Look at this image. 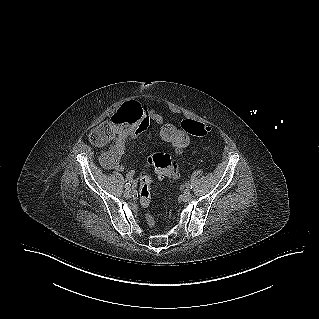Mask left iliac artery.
<instances>
[{
    "mask_svg": "<svg viewBox=\"0 0 319 319\" xmlns=\"http://www.w3.org/2000/svg\"><path fill=\"white\" fill-rule=\"evenodd\" d=\"M186 187H187L188 189H192V185H190V184H187Z\"/></svg>",
    "mask_w": 319,
    "mask_h": 319,
    "instance_id": "44dca946",
    "label": "left iliac artery"
}]
</instances>
